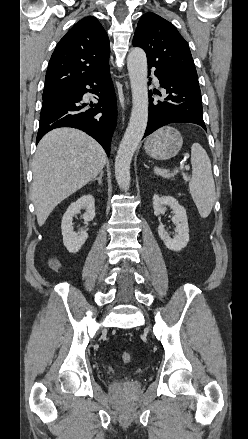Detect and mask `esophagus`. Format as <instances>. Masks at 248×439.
<instances>
[{
    "label": "esophagus",
    "mask_w": 248,
    "mask_h": 439,
    "mask_svg": "<svg viewBox=\"0 0 248 439\" xmlns=\"http://www.w3.org/2000/svg\"><path fill=\"white\" fill-rule=\"evenodd\" d=\"M127 103H129V98L126 99Z\"/></svg>",
    "instance_id": "1"
}]
</instances>
